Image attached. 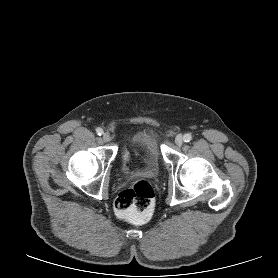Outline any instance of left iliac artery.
Returning a JSON list of instances; mask_svg holds the SVG:
<instances>
[{
	"instance_id": "44dca946",
	"label": "left iliac artery",
	"mask_w": 278,
	"mask_h": 278,
	"mask_svg": "<svg viewBox=\"0 0 278 278\" xmlns=\"http://www.w3.org/2000/svg\"><path fill=\"white\" fill-rule=\"evenodd\" d=\"M185 142H190L192 140L191 134H185L183 137Z\"/></svg>"
}]
</instances>
